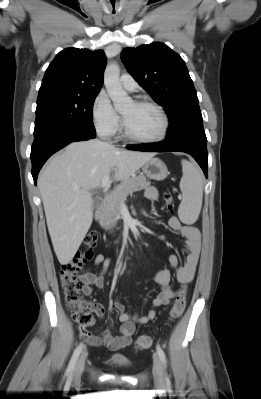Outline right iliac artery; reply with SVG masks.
I'll use <instances>...</instances> for the list:
<instances>
[{"instance_id": "1", "label": "right iliac artery", "mask_w": 261, "mask_h": 399, "mask_svg": "<svg viewBox=\"0 0 261 399\" xmlns=\"http://www.w3.org/2000/svg\"><path fill=\"white\" fill-rule=\"evenodd\" d=\"M82 348H83V344H80L75 349V351H74V353H73V355L71 357V360L69 362V365H68V368H67V373H72L73 372L75 363H76V361H77V359H78V357H79V355H80V353L82 351Z\"/></svg>"}]
</instances>
